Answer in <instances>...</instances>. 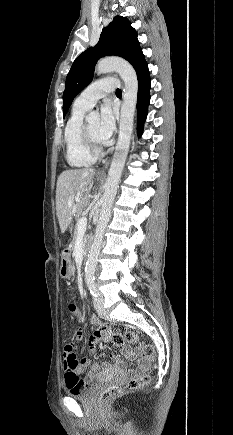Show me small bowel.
Instances as JSON below:
<instances>
[{
	"mask_svg": "<svg viewBox=\"0 0 233 435\" xmlns=\"http://www.w3.org/2000/svg\"><path fill=\"white\" fill-rule=\"evenodd\" d=\"M74 314L77 318H80L81 316V313L78 309L74 310ZM90 321L92 324H94L97 327L93 336L89 338L87 343L88 348L92 350L94 349L95 345L99 341H107L110 338V333L108 331V327L100 320V318L96 314L91 315ZM77 339L81 340L82 335L78 334ZM121 350L125 356L129 357L132 361L137 362L138 365L136 367V370H141L143 368V363L140 357L132 347L123 346ZM111 357L113 359L111 363L103 362L102 364L99 365L95 363H90V361L87 358L79 359L78 356L74 353L64 356L63 372H64V383L66 387L68 388V381H67L68 375L75 374L78 376L88 366L90 367V369L85 377V383L92 382L95 378L104 375L108 372L120 371L124 369V364L121 361H119V359L114 354H111Z\"/></svg>",
	"mask_w": 233,
	"mask_h": 435,
	"instance_id": "obj_1",
	"label": "small bowel"
}]
</instances>
